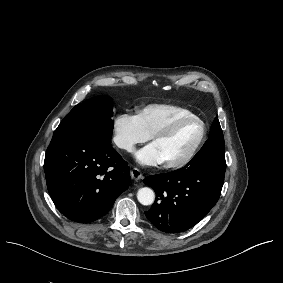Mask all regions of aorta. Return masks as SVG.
Instances as JSON below:
<instances>
[{"label":"aorta","instance_id":"1","mask_svg":"<svg viewBox=\"0 0 283 283\" xmlns=\"http://www.w3.org/2000/svg\"><path fill=\"white\" fill-rule=\"evenodd\" d=\"M138 201L145 206L153 204L155 200V193L149 187L140 188L137 192Z\"/></svg>","mask_w":283,"mask_h":283}]
</instances>
